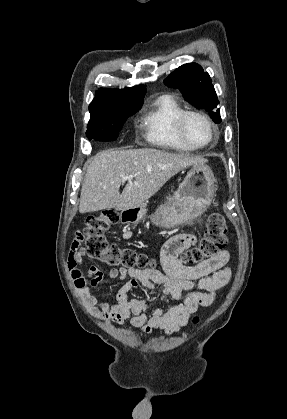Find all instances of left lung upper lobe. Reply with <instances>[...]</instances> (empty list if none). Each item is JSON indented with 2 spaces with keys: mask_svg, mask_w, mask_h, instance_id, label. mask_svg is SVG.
I'll return each instance as SVG.
<instances>
[{
  "mask_svg": "<svg viewBox=\"0 0 287 419\" xmlns=\"http://www.w3.org/2000/svg\"><path fill=\"white\" fill-rule=\"evenodd\" d=\"M179 90L183 97L197 109H205L215 123H221L220 109L210 76L196 63H187L173 71L164 81Z\"/></svg>",
  "mask_w": 287,
  "mask_h": 419,
  "instance_id": "5c2ea615",
  "label": "left lung upper lobe"
}]
</instances>
